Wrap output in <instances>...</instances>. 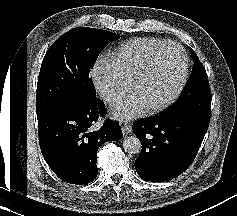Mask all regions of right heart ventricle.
I'll return each mask as SVG.
<instances>
[{
	"mask_svg": "<svg viewBox=\"0 0 237 216\" xmlns=\"http://www.w3.org/2000/svg\"><path fill=\"white\" fill-rule=\"evenodd\" d=\"M170 40L131 42L110 56L111 75L123 83H129L137 74L139 66L153 62L161 54L169 52Z\"/></svg>",
	"mask_w": 237,
	"mask_h": 216,
	"instance_id": "e07e8e85",
	"label": "right heart ventricle"
}]
</instances>
